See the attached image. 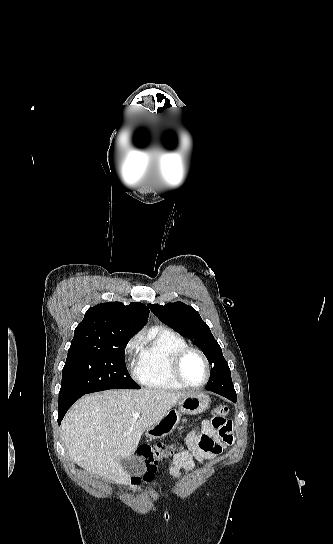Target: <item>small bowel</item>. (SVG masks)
I'll list each match as a JSON object with an SVG mask.
<instances>
[{"instance_id":"1","label":"small bowel","mask_w":333,"mask_h":544,"mask_svg":"<svg viewBox=\"0 0 333 544\" xmlns=\"http://www.w3.org/2000/svg\"><path fill=\"white\" fill-rule=\"evenodd\" d=\"M234 442L233 424L223 417L204 420L201 431H190L185 447H180L170 462L169 472L181 478L182 472L190 473L195 468L194 460L206 463L217 457L222 449Z\"/></svg>"}]
</instances>
